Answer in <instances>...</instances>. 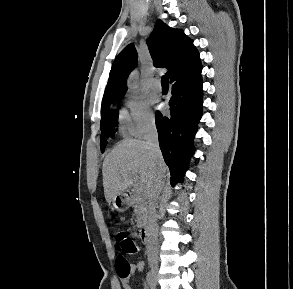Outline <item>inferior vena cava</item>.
<instances>
[{"label":"inferior vena cava","mask_w":293,"mask_h":289,"mask_svg":"<svg viewBox=\"0 0 293 289\" xmlns=\"http://www.w3.org/2000/svg\"><path fill=\"white\" fill-rule=\"evenodd\" d=\"M143 139L148 145L151 153L156 160L162 159V154L158 143V133L156 129L155 122H149L146 125L145 134ZM165 185V175L160 168L156 169L155 177L150 185L147 192L148 199V222L146 226V231L148 233L147 239V253L148 260L154 264L157 263V244H158V228H157V214H156V204L158 197Z\"/></svg>","instance_id":"1"}]
</instances>
